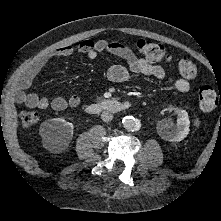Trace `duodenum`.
Masks as SVG:
<instances>
[{"label":"duodenum","instance_id":"duodenum-1","mask_svg":"<svg viewBox=\"0 0 221 221\" xmlns=\"http://www.w3.org/2000/svg\"><path fill=\"white\" fill-rule=\"evenodd\" d=\"M128 102H119L115 99L102 100L99 102L91 103L86 106L88 113L97 114L101 112L117 113L129 108Z\"/></svg>","mask_w":221,"mask_h":221}]
</instances>
